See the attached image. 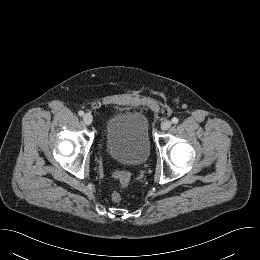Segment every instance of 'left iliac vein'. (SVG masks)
Here are the masks:
<instances>
[{
    "label": "left iliac vein",
    "instance_id": "1",
    "mask_svg": "<svg viewBox=\"0 0 260 260\" xmlns=\"http://www.w3.org/2000/svg\"><path fill=\"white\" fill-rule=\"evenodd\" d=\"M172 123L169 120H165L162 124H161V129L162 130H168L171 127Z\"/></svg>",
    "mask_w": 260,
    "mask_h": 260
}]
</instances>
